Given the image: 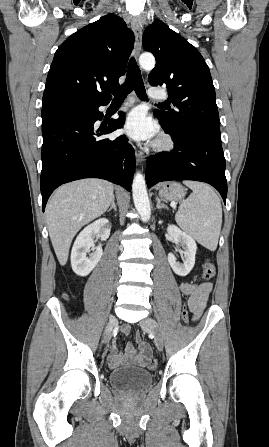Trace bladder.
I'll return each mask as SVG.
<instances>
[{
  "instance_id": "obj_1",
  "label": "bladder",
  "mask_w": 269,
  "mask_h": 447,
  "mask_svg": "<svg viewBox=\"0 0 269 447\" xmlns=\"http://www.w3.org/2000/svg\"><path fill=\"white\" fill-rule=\"evenodd\" d=\"M108 379L110 385L119 391L138 394L144 388L151 386L153 374L146 369L123 366L109 371Z\"/></svg>"
}]
</instances>
